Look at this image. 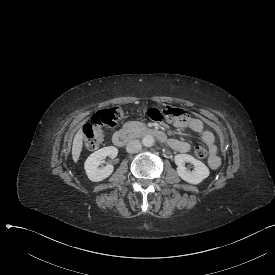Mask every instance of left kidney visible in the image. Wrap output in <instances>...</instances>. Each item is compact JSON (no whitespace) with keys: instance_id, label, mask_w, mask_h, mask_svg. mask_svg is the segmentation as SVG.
I'll use <instances>...</instances> for the list:
<instances>
[{"instance_id":"obj_1","label":"left kidney","mask_w":275,"mask_h":275,"mask_svg":"<svg viewBox=\"0 0 275 275\" xmlns=\"http://www.w3.org/2000/svg\"><path fill=\"white\" fill-rule=\"evenodd\" d=\"M175 164L178 166L176 171L179 177L187 183L198 185L209 177L210 171L208 167L201 161L196 160L193 156L188 154H177L174 158ZM185 162L192 164L195 169L187 171Z\"/></svg>"}]
</instances>
